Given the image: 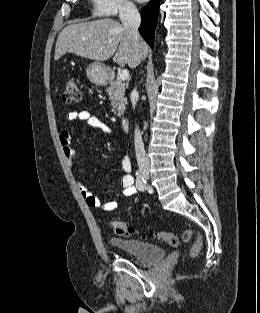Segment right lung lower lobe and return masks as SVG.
Returning <instances> with one entry per match:
<instances>
[{
    "label": "right lung lower lobe",
    "instance_id": "right-lung-lower-lobe-1",
    "mask_svg": "<svg viewBox=\"0 0 260 313\" xmlns=\"http://www.w3.org/2000/svg\"><path fill=\"white\" fill-rule=\"evenodd\" d=\"M160 0H151L141 9L142 20L139 28L141 36L153 48Z\"/></svg>",
    "mask_w": 260,
    "mask_h": 313
}]
</instances>
